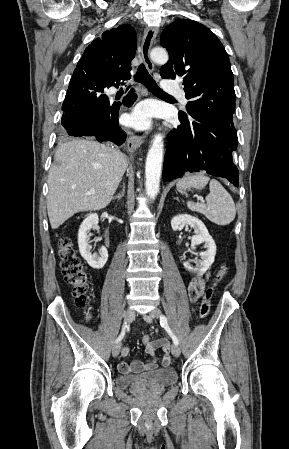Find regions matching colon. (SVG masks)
I'll return each instance as SVG.
<instances>
[{
    "label": "colon",
    "mask_w": 289,
    "mask_h": 449,
    "mask_svg": "<svg viewBox=\"0 0 289 449\" xmlns=\"http://www.w3.org/2000/svg\"><path fill=\"white\" fill-rule=\"evenodd\" d=\"M58 255L64 279L73 288L76 306L86 310L89 303L88 275L70 238L63 237L60 239ZM228 271L229 267L227 265L221 266L216 272L213 282L207 287L199 307V315L201 318L204 319L208 316L214 289L227 275ZM86 314L88 316L89 312L86 311ZM149 339L150 337L148 335H144L142 342L146 343Z\"/></svg>",
    "instance_id": "colon-1"
}]
</instances>
